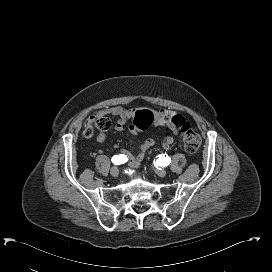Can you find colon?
I'll use <instances>...</instances> for the list:
<instances>
[{
    "instance_id": "5ec220e1",
    "label": "colon",
    "mask_w": 272,
    "mask_h": 272,
    "mask_svg": "<svg viewBox=\"0 0 272 272\" xmlns=\"http://www.w3.org/2000/svg\"><path fill=\"white\" fill-rule=\"evenodd\" d=\"M151 114L147 111L138 112L133 120L132 128H143L149 124ZM172 123L175 127L182 130V139L184 149L188 154H195L199 150L201 139L199 134L193 130L190 124L181 115H175L172 118ZM110 120L101 112L95 113L91 116L85 124V135L90 138L98 131H105L110 127Z\"/></svg>"
}]
</instances>
